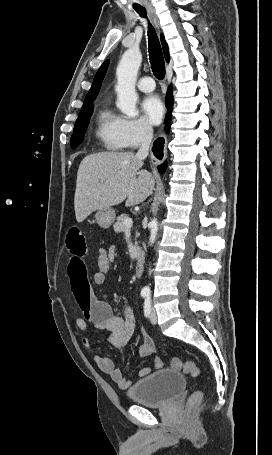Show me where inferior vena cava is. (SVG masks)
<instances>
[{
  "mask_svg": "<svg viewBox=\"0 0 272 455\" xmlns=\"http://www.w3.org/2000/svg\"><path fill=\"white\" fill-rule=\"evenodd\" d=\"M153 138V130L150 125H145L143 128L141 146L138 150L136 157L140 159H145L148 156L150 144Z\"/></svg>",
  "mask_w": 272,
  "mask_h": 455,
  "instance_id": "1",
  "label": "inferior vena cava"
}]
</instances>
